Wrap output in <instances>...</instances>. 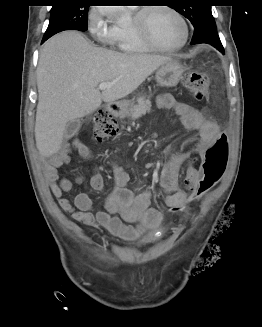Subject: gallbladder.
<instances>
[{"mask_svg": "<svg viewBox=\"0 0 262 327\" xmlns=\"http://www.w3.org/2000/svg\"><path fill=\"white\" fill-rule=\"evenodd\" d=\"M81 127V121L79 119L72 120L67 123L65 128V137L70 138L74 136Z\"/></svg>", "mask_w": 262, "mask_h": 327, "instance_id": "bac80fb5", "label": "gallbladder"}]
</instances>
